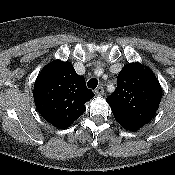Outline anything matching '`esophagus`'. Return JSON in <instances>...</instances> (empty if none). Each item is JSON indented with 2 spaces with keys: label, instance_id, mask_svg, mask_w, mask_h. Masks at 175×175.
<instances>
[{
  "label": "esophagus",
  "instance_id": "1",
  "mask_svg": "<svg viewBox=\"0 0 175 175\" xmlns=\"http://www.w3.org/2000/svg\"><path fill=\"white\" fill-rule=\"evenodd\" d=\"M104 93V88L102 86H99L95 90L96 95H102Z\"/></svg>",
  "mask_w": 175,
  "mask_h": 175
}]
</instances>
